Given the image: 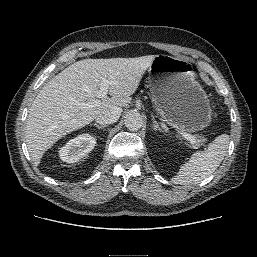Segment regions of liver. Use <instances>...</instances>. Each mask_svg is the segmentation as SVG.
<instances>
[{"label":"liver","instance_id":"liver-1","mask_svg":"<svg viewBox=\"0 0 257 257\" xmlns=\"http://www.w3.org/2000/svg\"><path fill=\"white\" fill-rule=\"evenodd\" d=\"M154 58L84 59L51 79L34 99L27 118L25 138L34 164H40L55 142L91 123L100 111L127 107ZM102 79L110 82V98L97 96ZM97 100L94 107L78 105Z\"/></svg>","mask_w":257,"mask_h":257}]
</instances>
